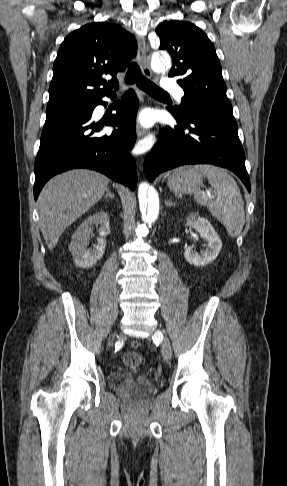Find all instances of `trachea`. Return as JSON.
Masks as SVG:
<instances>
[{"mask_svg": "<svg viewBox=\"0 0 287 486\" xmlns=\"http://www.w3.org/2000/svg\"><path fill=\"white\" fill-rule=\"evenodd\" d=\"M126 84H134L145 91L146 93L150 94L151 96H169V94L154 83H152L149 79H147L140 70V67L137 63H131L127 73H126Z\"/></svg>", "mask_w": 287, "mask_h": 486, "instance_id": "3493384b", "label": "trachea"}]
</instances>
